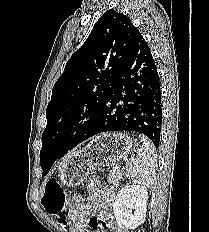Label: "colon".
Masks as SVG:
<instances>
[{"instance_id":"colon-1","label":"colon","mask_w":209,"mask_h":232,"mask_svg":"<svg viewBox=\"0 0 209 232\" xmlns=\"http://www.w3.org/2000/svg\"><path fill=\"white\" fill-rule=\"evenodd\" d=\"M41 202L50 215L60 220V226L68 225V222L64 221V212L67 203L66 193L56 180L49 179L46 181Z\"/></svg>"}]
</instances>
